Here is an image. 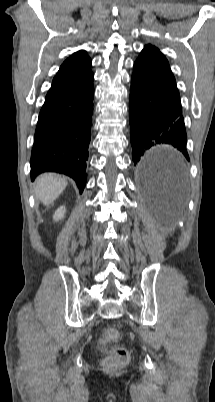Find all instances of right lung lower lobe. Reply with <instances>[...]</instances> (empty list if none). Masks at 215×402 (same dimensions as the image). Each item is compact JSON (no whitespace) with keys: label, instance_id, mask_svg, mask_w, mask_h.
<instances>
[{"label":"right lung lower lobe","instance_id":"right-lung-lower-lobe-1","mask_svg":"<svg viewBox=\"0 0 215 402\" xmlns=\"http://www.w3.org/2000/svg\"><path fill=\"white\" fill-rule=\"evenodd\" d=\"M93 74L77 87L46 97L31 154V178L52 171L76 181L83 191L93 115Z\"/></svg>","mask_w":215,"mask_h":402}]
</instances>
